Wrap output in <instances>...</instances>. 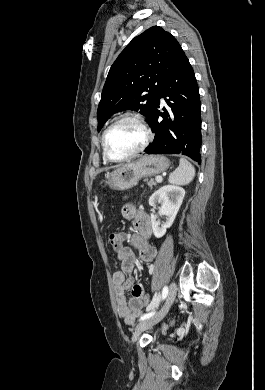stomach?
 Returning a JSON list of instances; mask_svg holds the SVG:
<instances>
[{
    "label": "stomach",
    "mask_w": 265,
    "mask_h": 390,
    "mask_svg": "<svg viewBox=\"0 0 265 390\" xmlns=\"http://www.w3.org/2000/svg\"><path fill=\"white\" fill-rule=\"evenodd\" d=\"M169 165V160L164 156H143L108 174L107 184L113 190H127L135 186L142 177L154 176L166 171Z\"/></svg>",
    "instance_id": "stomach-1"
}]
</instances>
